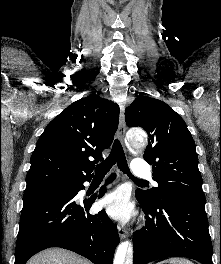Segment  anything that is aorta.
I'll list each match as a JSON object with an SVG mask.
<instances>
[{"label":"aorta","mask_w":221,"mask_h":264,"mask_svg":"<svg viewBox=\"0 0 221 264\" xmlns=\"http://www.w3.org/2000/svg\"><path fill=\"white\" fill-rule=\"evenodd\" d=\"M130 143L136 148H144L146 138L144 135L131 134ZM114 264H133V247L131 242H123L117 248Z\"/></svg>","instance_id":"obj_1"}]
</instances>
